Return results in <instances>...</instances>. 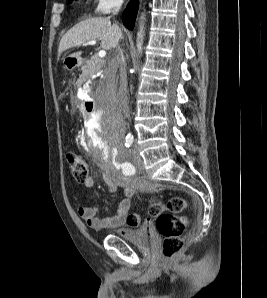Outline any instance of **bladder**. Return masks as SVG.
<instances>
[{"instance_id": "obj_1", "label": "bladder", "mask_w": 267, "mask_h": 298, "mask_svg": "<svg viewBox=\"0 0 267 298\" xmlns=\"http://www.w3.org/2000/svg\"><path fill=\"white\" fill-rule=\"evenodd\" d=\"M119 236L141 249L150 248L155 241V234L151 225H144L135 230L122 232Z\"/></svg>"}]
</instances>
